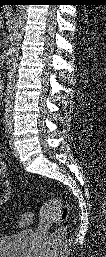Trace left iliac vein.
Masks as SVG:
<instances>
[{"mask_svg":"<svg viewBox=\"0 0 106 257\" xmlns=\"http://www.w3.org/2000/svg\"><path fill=\"white\" fill-rule=\"evenodd\" d=\"M9 146H10V148H11L12 153H13V154H16V147H15V145H14L13 136H10Z\"/></svg>","mask_w":106,"mask_h":257,"instance_id":"obj_1","label":"left iliac vein"}]
</instances>
